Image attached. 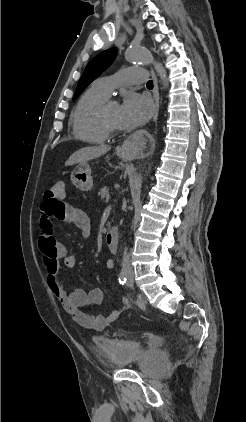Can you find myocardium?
Instances as JSON below:
<instances>
[{
	"label": "myocardium",
	"mask_w": 246,
	"mask_h": 422,
	"mask_svg": "<svg viewBox=\"0 0 246 422\" xmlns=\"http://www.w3.org/2000/svg\"><path fill=\"white\" fill-rule=\"evenodd\" d=\"M115 103L112 100H106L99 108L98 111V118H99V122L102 126V128L109 134H117L120 129L118 127L113 126L112 124H110V122L108 121L107 117H106V110L107 107L110 104Z\"/></svg>",
	"instance_id": "f54148a6"
}]
</instances>
